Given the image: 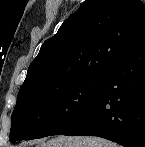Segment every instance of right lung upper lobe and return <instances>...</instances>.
Instances as JSON below:
<instances>
[{"instance_id":"obj_1","label":"right lung upper lobe","mask_w":145,"mask_h":147,"mask_svg":"<svg viewBox=\"0 0 145 147\" xmlns=\"http://www.w3.org/2000/svg\"><path fill=\"white\" fill-rule=\"evenodd\" d=\"M143 39L141 0H86L43 43L18 95L50 92L87 75L102 74Z\"/></svg>"}]
</instances>
